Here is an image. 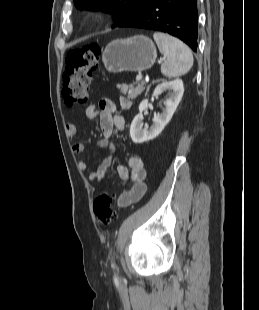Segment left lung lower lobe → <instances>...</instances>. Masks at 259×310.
<instances>
[{
	"mask_svg": "<svg viewBox=\"0 0 259 310\" xmlns=\"http://www.w3.org/2000/svg\"><path fill=\"white\" fill-rule=\"evenodd\" d=\"M115 27L162 31L181 39L196 51L197 0H152Z\"/></svg>",
	"mask_w": 259,
	"mask_h": 310,
	"instance_id": "obj_1",
	"label": "left lung lower lobe"
}]
</instances>
